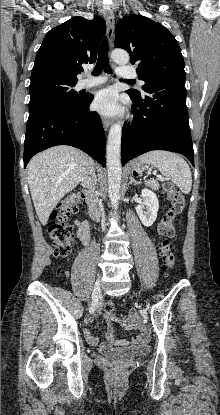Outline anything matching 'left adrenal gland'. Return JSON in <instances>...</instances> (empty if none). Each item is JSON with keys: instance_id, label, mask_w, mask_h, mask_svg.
<instances>
[{"instance_id": "obj_1", "label": "left adrenal gland", "mask_w": 220, "mask_h": 415, "mask_svg": "<svg viewBox=\"0 0 220 415\" xmlns=\"http://www.w3.org/2000/svg\"><path fill=\"white\" fill-rule=\"evenodd\" d=\"M129 179H130L129 184H132V183L139 184V182L136 181L132 176Z\"/></svg>"}]
</instances>
